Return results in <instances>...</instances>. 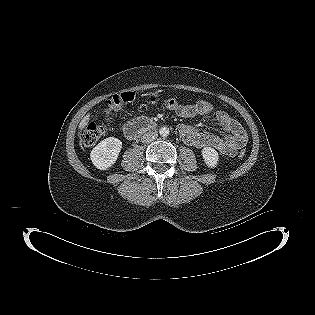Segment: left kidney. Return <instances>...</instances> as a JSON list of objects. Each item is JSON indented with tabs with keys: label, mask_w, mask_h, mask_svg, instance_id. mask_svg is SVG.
<instances>
[{
	"label": "left kidney",
	"mask_w": 315,
	"mask_h": 315,
	"mask_svg": "<svg viewBox=\"0 0 315 315\" xmlns=\"http://www.w3.org/2000/svg\"><path fill=\"white\" fill-rule=\"evenodd\" d=\"M202 157L204 159L205 164L208 167L215 168L219 161L218 152L211 147H205L202 149Z\"/></svg>",
	"instance_id": "5707ae66"
}]
</instances>
